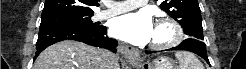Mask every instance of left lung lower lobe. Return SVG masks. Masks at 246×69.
Returning a JSON list of instances; mask_svg holds the SVG:
<instances>
[{
  "label": "left lung lower lobe",
  "instance_id": "1",
  "mask_svg": "<svg viewBox=\"0 0 246 69\" xmlns=\"http://www.w3.org/2000/svg\"><path fill=\"white\" fill-rule=\"evenodd\" d=\"M168 50L190 51V52H193V53L199 55L200 57H202L205 61H207L209 63L208 56L206 53V44L201 40L188 38V39L184 40L183 42H181L180 45L173 47V48H170ZM145 52L147 54H150V53H154V52H158V51H145Z\"/></svg>",
  "mask_w": 246,
  "mask_h": 69
}]
</instances>
